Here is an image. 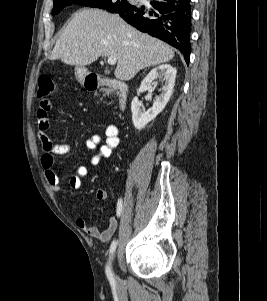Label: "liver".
Listing matches in <instances>:
<instances>
[{
    "label": "liver",
    "instance_id": "obj_1",
    "mask_svg": "<svg viewBox=\"0 0 267 301\" xmlns=\"http://www.w3.org/2000/svg\"><path fill=\"white\" fill-rule=\"evenodd\" d=\"M100 56H115V77L129 81L144 68L169 62L174 51L128 25L117 14L82 9L73 15L57 40L51 59L83 69Z\"/></svg>",
    "mask_w": 267,
    "mask_h": 301
}]
</instances>
